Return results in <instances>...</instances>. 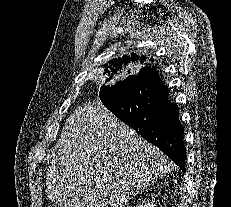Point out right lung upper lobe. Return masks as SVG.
I'll return each mask as SVG.
<instances>
[{
    "label": "right lung upper lobe",
    "instance_id": "obj_1",
    "mask_svg": "<svg viewBox=\"0 0 231 207\" xmlns=\"http://www.w3.org/2000/svg\"><path fill=\"white\" fill-rule=\"evenodd\" d=\"M135 60L138 59L137 55L134 54H132L131 57L125 55L122 58L112 59L108 62V64H106L105 72L111 75V77L113 75H120L123 73V71L130 69V67L132 66V62H134ZM143 60H145L144 57L141 58L142 62Z\"/></svg>",
    "mask_w": 231,
    "mask_h": 207
}]
</instances>
